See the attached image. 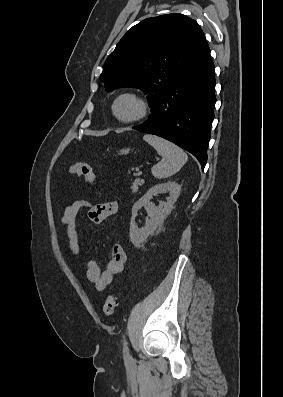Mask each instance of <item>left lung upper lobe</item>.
<instances>
[{"label":"left lung upper lobe","instance_id":"1","mask_svg":"<svg viewBox=\"0 0 283 397\" xmlns=\"http://www.w3.org/2000/svg\"><path fill=\"white\" fill-rule=\"evenodd\" d=\"M210 53L198 23L183 14L147 18L133 26L108 56L100 75L106 90L136 87L150 107Z\"/></svg>","mask_w":283,"mask_h":397}]
</instances>
